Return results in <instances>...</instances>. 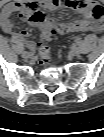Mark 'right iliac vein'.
Returning <instances> with one entry per match:
<instances>
[{
	"mask_svg": "<svg viewBox=\"0 0 104 137\" xmlns=\"http://www.w3.org/2000/svg\"><path fill=\"white\" fill-rule=\"evenodd\" d=\"M22 57L26 58V59H32L33 58V54L32 53H28V52H25L23 51L21 53Z\"/></svg>",
	"mask_w": 104,
	"mask_h": 137,
	"instance_id": "obj_1",
	"label": "right iliac vein"
}]
</instances>
